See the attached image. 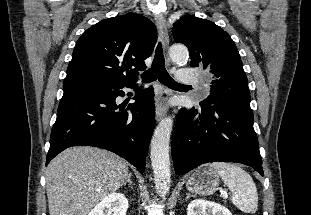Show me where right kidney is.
Segmentation results:
<instances>
[{"label":"right kidney","instance_id":"1","mask_svg":"<svg viewBox=\"0 0 311 215\" xmlns=\"http://www.w3.org/2000/svg\"><path fill=\"white\" fill-rule=\"evenodd\" d=\"M127 210V198L114 192L103 198L88 215H126Z\"/></svg>","mask_w":311,"mask_h":215}]
</instances>
